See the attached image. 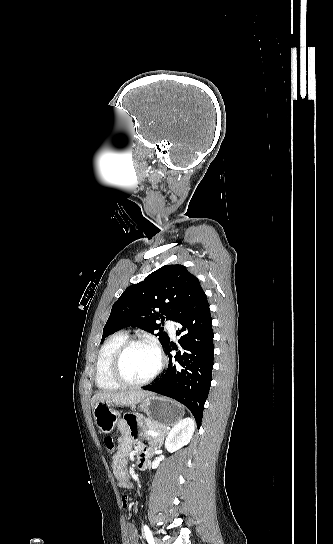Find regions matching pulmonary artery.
<instances>
[{"label": "pulmonary artery", "mask_w": 333, "mask_h": 544, "mask_svg": "<svg viewBox=\"0 0 333 544\" xmlns=\"http://www.w3.org/2000/svg\"><path fill=\"white\" fill-rule=\"evenodd\" d=\"M167 327H168V330H169V333L171 334V336H175V323L173 321H168L167 322Z\"/></svg>", "instance_id": "pulmonary-artery-1"}]
</instances>
